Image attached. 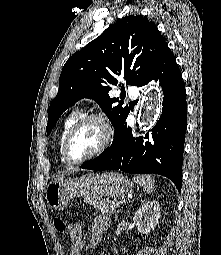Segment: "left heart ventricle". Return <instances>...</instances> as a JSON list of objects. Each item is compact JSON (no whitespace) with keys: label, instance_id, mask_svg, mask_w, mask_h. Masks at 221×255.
<instances>
[{"label":"left heart ventricle","instance_id":"obj_1","mask_svg":"<svg viewBox=\"0 0 221 255\" xmlns=\"http://www.w3.org/2000/svg\"><path fill=\"white\" fill-rule=\"evenodd\" d=\"M103 140V129L98 122L83 125L73 136L69 152L74 160L82 159L94 152Z\"/></svg>","mask_w":221,"mask_h":255}]
</instances>
